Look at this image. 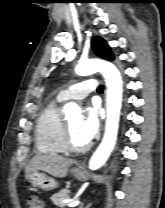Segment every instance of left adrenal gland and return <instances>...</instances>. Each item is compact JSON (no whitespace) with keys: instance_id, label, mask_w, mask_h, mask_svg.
<instances>
[{"instance_id":"left-adrenal-gland-1","label":"left adrenal gland","mask_w":165,"mask_h":208,"mask_svg":"<svg viewBox=\"0 0 165 208\" xmlns=\"http://www.w3.org/2000/svg\"><path fill=\"white\" fill-rule=\"evenodd\" d=\"M90 205H91V203H89L85 208H89ZM79 208H84V203H81L80 206H79Z\"/></svg>"}]
</instances>
